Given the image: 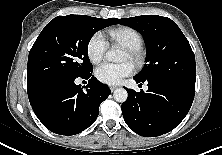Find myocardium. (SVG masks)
I'll return each mask as SVG.
<instances>
[{
    "label": "myocardium",
    "instance_id": "myocardium-1",
    "mask_svg": "<svg viewBox=\"0 0 222 155\" xmlns=\"http://www.w3.org/2000/svg\"><path fill=\"white\" fill-rule=\"evenodd\" d=\"M128 54V58L132 61L135 65H140L143 62V54L140 49H126Z\"/></svg>",
    "mask_w": 222,
    "mask_h": 155
}]
</instances>
